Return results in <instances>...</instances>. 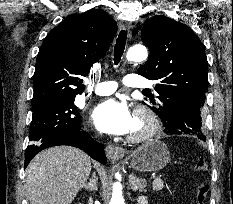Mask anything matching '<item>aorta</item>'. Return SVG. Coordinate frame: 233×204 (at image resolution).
Here are the masks:
<instances>
[{
    "label": "aorta",
    "instance_id": "1",
    "mask_svg": "<svg viewBox=\"0 0 233 204\" xmlns=\"http://www.w3.org/2000/svg\"><path fill=\"white\" fill-rule=\"evenodd\" d=\"M148 57L147 49L144 45L138 44L130 47L126 54V59L133 62H141ZM110 204H124V198L122 195V186L120 183L115 182L113 184L112 198Z\"/></svg>",
    "mask_w": 233,
    "mask_h": 204
}]
</instances>
